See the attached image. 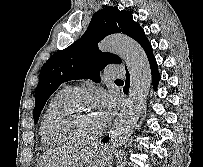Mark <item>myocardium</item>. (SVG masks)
<instances>
[{"instance_id":"obj_1","label":"myocardium","mask_w":203,"mask_h":167,"mask_svg":"<svg viewBox=\"0 0 203 167\" xmlns=\"http://www.w3.org/2000/svg\"><path fill=\"white\" fill-rule=\"evenodd\" d=\"M89 94L85 91H74L66 100H64L49 116L47 120V130L55 138L66 143H88L96 140L104 131L102 126L97 132L85 137H78L67 134L63 131L58 123L69 112L75 102L81 97H87Z\"/></svg>"}]
</instances>
